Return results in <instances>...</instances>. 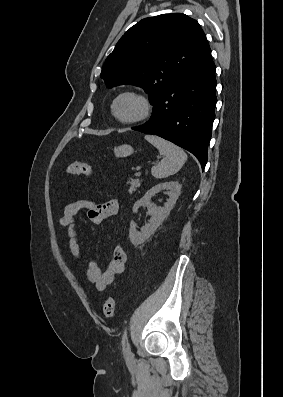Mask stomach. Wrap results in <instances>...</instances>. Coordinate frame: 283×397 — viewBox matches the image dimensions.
<instances>
[{"label":"stomach","instance_id":"obj_1","mask_svg":"<svg viewBox=\"0 0 283 397\" xmlns=\"http://www.w3.org/2000/svg\"><path fill=\"white\" fill-rule=\"evenodd\" d=\"M132 146L128 144L120 145L114 148V154L117 157H127L133 153Z\"/></svg>","mask_w":283,"mask_h":397}]
</instances>
